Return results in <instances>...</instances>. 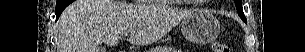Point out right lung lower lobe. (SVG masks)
I'll return each mask as SVG.
<instances>
[{
  "label": "right lung lower lobe",
  "mask_w": 305,
  "mask_h": 52,
  "mask_svg": "<svg viewBox=\"0 0 305 52\" xmlns=\"http://www.w3.org/2000/svg\"><path fill=\"white\" fill-rule=\"evenodd\" d=\"M72 2H73V0H57V2H56V20L59 18L62 11Z\"/></svg>",
  "instance_id": "98d812e1"
}]
</instances>
